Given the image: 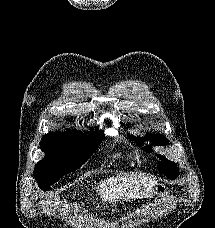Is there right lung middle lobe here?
<instances>
[{"mask_svg": "<svg viewBox=\"0 0 215 228\" xmlns=\"http://www.w3.org/2000/svg\"><path fill=\"white\" fill-rule=\"evenodd\" d=\"M104 138L103 131H80L46 134L40 147L45 158L35 166L34 176L42 190H49L62 176L79 169L96 151Z\"/></svg>", "mask_w": 215, "mask_h": 228, "instance_id": "right-lung-middle-lobe-1", "label": "right lung middle lobe"}]
</instances>
